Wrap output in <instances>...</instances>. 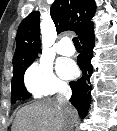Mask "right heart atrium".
<instances>
[{
	"mask_svg": "<svg viewBox=\"0 0 117 131\" xmlns=\"http://www.w3.org/2000/svg\"><path fill=\"white\" fill-rule=\"evenodd\" d=\"M25 86L35 97L52 95L66 88V84L53 72L50 64L35 62L25 72Z\"/></svg>",
	"mask_w": 117,
	"mask_h": 131,
	"instance_id": "1",
	"label": "right heart atrium"
}]
</instances>
